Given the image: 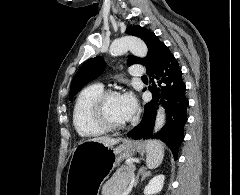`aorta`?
Listing matches in <instances>:
<instances>
[{"label": "aorta", "mask_w": 240, "mask_h": 195, "mask_svg": "<svg viewBox=\"0 0 240 195\" xmlns=\"http://www.w3.org/2000/svg\"><path fill=\"white\" fill-rule=\"evenodd\" d=\"M112 56H119V54H126V52H131L133 56H138V58H145L147 56L148 48L144 44L143 40L140 38H121V40H115L110 46L109 50ZM165 123V109L164 107H159L155 119V131H159Z\"/></svg>", "instance_id": "aorta-1"}]
</instances>
